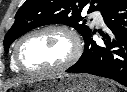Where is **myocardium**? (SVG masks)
Segmentation results:
<instances>
[{"label":"myocardium","mask_w":127,"mask_h":92,"mask_svg":"<svg viewBox=\"0 0 127 92\" xmlns=\"http://www.w3.org/2000/svg\"><path fill=\"white\" fill-rule=\"evenodd\" d=\"M47 31H60V32L67 34L70 37V39L72 41V45H73L71 54L63 63H61L60 65L53 67V68H46V69H28V68H26L24 66V64L22 63L21 56H20V51H21V47H22L23 43L28 38H30L36 34L47 32ZM81 51H82L81 41L74 29H72L66 25H62V24H49V25H44V26L38 27L36 29H33V30L29 31L28 33H26L25 35H23L18 40V42L14 48L13 60H14V63L16 64V66L18 67V69L24 73H27V74L57 73V72L65 71L68 68H70L72 65H74L76 63V61L79 59V57L81 55Z\"/></svg>","instance_id":"f54148a6"}]
</instances>
